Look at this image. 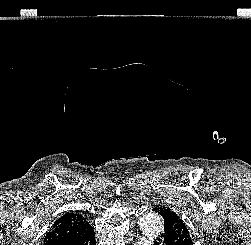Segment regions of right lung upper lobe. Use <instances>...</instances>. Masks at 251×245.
<instances>
[{"label": "right lung upper lobe", "mask_w": 251, "mask_h": 245, "mask_svg": "<svg viewBox=\"0 0 251 245\" xmlns=\"http://www.w3.org/2000/svg\"><path fill=\"white\" fill-rule=\"evenodd\" d=\"M91 229V225L81 214L66 213L54 222L44 238V243L62 238L82 236Z\"/></svg>", "instance_id": "obj_1"}]
</instances>
